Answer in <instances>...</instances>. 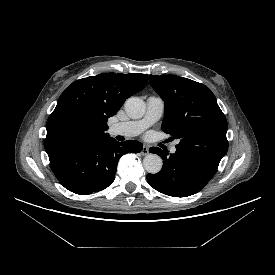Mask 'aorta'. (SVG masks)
I'll list each match as a JSON object with an SVG mask.
<instances>
[{
	"label": "aorta",
	"mask_w": 275,
	"mask_h": 275,
	"mask_svg": "<svg viewBox=\"0 0 275 275\" xmlns=\"http://www.w3.org/2000/svg\"><path fill=\"white\" fill-rule=\"evenodd\" d=\"M146 105L138 97H130L125 102V111L132 119H139L145 114ZM143 165L148 173L156 174L162 169L163 161L157 154L150 153L143 159Z\"/></svg>",
	"instance_id": "1"
}]
</instances>
